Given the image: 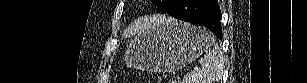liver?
Instances as JSON below:
<instances>
[{
    "label": "liver",
    "mask_w": 307,
    "mask_h": 83,
    "mask_svg": "<svg viewBox=\"0 0 307 83\" xmlns=\"http://www.w3.org/2000/svg\"><path fill=\"white\" fill-rule=\"evenodd\" d=\"M137 29H138L137 26H132L131 28L128 29V32H127V33H128V34H130V33H135Z\"/></svg>",
    "instance_id": "obj_1"
}]
</instances>
